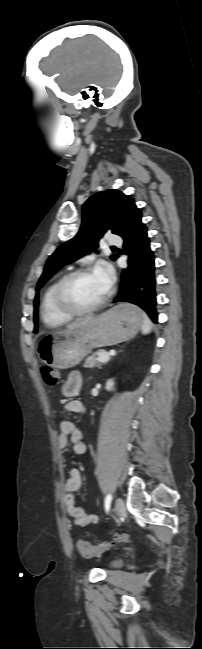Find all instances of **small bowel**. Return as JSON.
I'll use <instances>...</instances> for the list:
<instances>
[{"label": "small bowel", "instance_id": "1", "mask_svg": "<svg viewBox=\"0 0 202 649\" xmlns=\"http://www.w3.org/2000/svg\"><path fill=\"white\" fill-rule=\"evenodd\" d=\"M82 386V377L79 372H71L62 386V393L66 397L76 396ZM65 410L69 413L78 414L83 410V404L77 399H70L65 403ZM69 442L73 445V452L77 456H82L87 451V446L83 441L82 432L75 426L72 421L63 420L60 423V432L57 437V446L60 450L67 448ZM61 461L63 457L61 456ZM82 485V476L79 470L73 469L66 479L63 490L65 492L64 504L77 526H87L99 522L96 514H88L81 507L77 506L76 498L73 495Z\"/></svg>", "mask_w": 202, "mask_h": 649}]
</instances>
